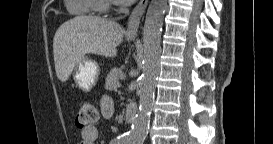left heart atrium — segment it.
<instances>
[{
	"label": "left heart atrium",
	"mask_w": 273,
	"mask_h": 144,
	"mask_svg": "<svg viewBox=\"0 0 273 144\" xmlns=\"http://www.w3.org/2000/svg\"><path fill=\"white\" fill-rule=\"evenodd\" d=\"M134 0H114V2H117L122 5H129L133 2Z\"/></svg>",
	"instance_id": "left-heart-atrium-1"
}]
</instances>
